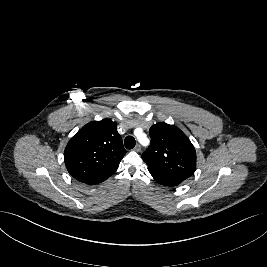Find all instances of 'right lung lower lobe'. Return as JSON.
Wrapping results in <instances>:
<instances>
[{
	"label": "right lung lower lobe",
	"mask_w": 267,
	"mask_h": 267,
	"mask_svg": "<svg viewBox=\"0 0 267 267\" xmlns=\"http://www.w3.org/2000/svg\"><path fill=\"white\" fill-rule=\"evenodd\" d=\"M112 174L113 173H110V174H108V175H106V176H104V177H102V178H100L98 180H95V181L87 183V184H89V185L98 184V183L103 182L104 180L108 179Z\"/></svg>",
	"instance_id": "obj_1"
}]
</instances>
